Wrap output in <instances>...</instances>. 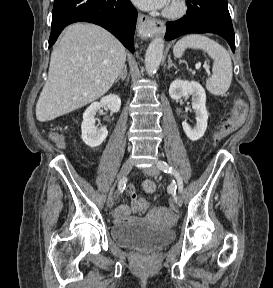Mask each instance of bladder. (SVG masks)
I'll return each instance as SVG.
<instances>
[{
    "label": "bladder",
    "instance_id": "bladder-1",
    "mask_svg": "<svg viewBox=\"0 0 273 288\" xmlns=\"http://www.w3.org/2000/svg\"><path fill=\"white\" fill-rule=\"evenodd\" d=\"M111 241L119 248L158 250L175 239L173 229L154 228L140 222L117 223L110 228Z\"/></svg>",
    "mask_w": 273,
    "mask_h": 288
}]
</instances>
